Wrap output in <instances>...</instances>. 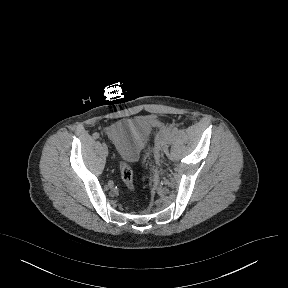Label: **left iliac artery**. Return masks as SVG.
Returning <instances> with one entry per match:
<instances>
[{
  "label": "left iliac artery",
  "instance_id": "obj_1",
  "mask_svg": "<svg viewBox=\"0 0 288 288\" xmlns=\"http://www.w3.org/2000/svg\"><path fill=\"white\" fill-rule=\"evenodd\" d=\"M172 134H168V137H170Z\"/></svg>",
  "mask_w": 288,
  "mask_h": 288
}]
</instances>
